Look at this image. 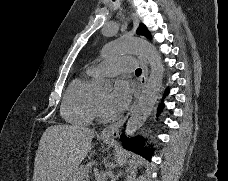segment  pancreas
<instances>
[{
	"label": "pancreas",
	"instance_id": "1",
	"mask_svg": "<svg viewBox=\"0 0 228 181\" xmlns=\"http://www.w3.org/2000/svg\"><path fill=\"white\" fill-rule=\"evenodd\" d=\"M69 181H89V171L87 167L81 165L78 169L73 171L72 175H70Z\"/></svg>",
	"mask_w": 228,
	"mask_h": 181
}]
</instances>
